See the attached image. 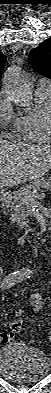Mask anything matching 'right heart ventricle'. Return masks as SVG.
<instances>
[{"label": "right heart ventricle", "instance_id": "right-heart-ventricle-1", "mask_svg": "<svg viewBox=\"0 0 51 393\" xmlns=\"http://www.w3.org/2000/svg\"><path fill=\"white\" fill-rule=\"evenodd\" d=\"M51 108V88L37 87L35 107L19 118L18 131L21 139L29 143L43 144L51 139L49 111Z\"/></svg>", "mask_w": 51, "mask_h": 393}]
</instances>
